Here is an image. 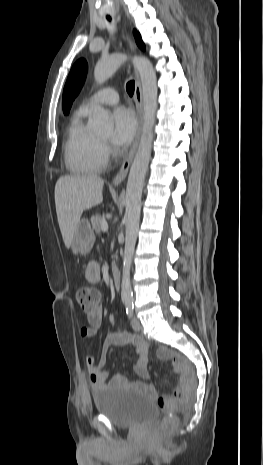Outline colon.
I'll return each instance as SVG.
<instances>
[{
  "mask_svg": "<svg viewBox=\"0 0 263 465\" xmlns=\"http://www.w3.org/2000/svg\"><path fill=\"white\" fill-rule=\"evenodd\" d=\"M77 300L84 312L91 313L98 307L100 293L92 287L83 286L77 291ZM188 386V377L186 375L182 376L181 385L173 397H161L158 399V405L166 413L159 427L161 434H167L177 426L178 419L175 414V408L177 403L185 398Z\"/></svg>",
  "mask_w": 263,
  "mask_h": 465,
  "instance_id": "1",
  "label": "colon"
}]
</instances>
